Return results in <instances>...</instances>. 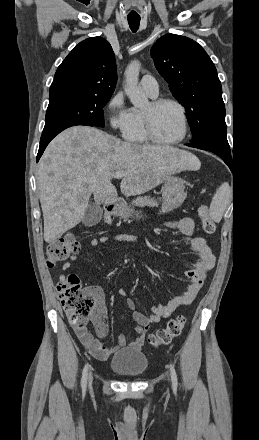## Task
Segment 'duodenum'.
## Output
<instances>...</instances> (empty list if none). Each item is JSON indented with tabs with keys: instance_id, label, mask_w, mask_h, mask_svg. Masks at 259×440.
Returning a JSON list of instances; mask_svg holds the SVG:
<instances>
[{
	"instance_id": "obj_1",
	"label": "duodenum",
	"mask_w": 259,
	"mask_h": 440,
	"mask_svg": "<svg viewBox=\"0 0 259 440\" xmlns=\"http://www.w3.org/2000/svg\"><path fill=\"white\" fill-rule=\"evenodd\" d=\"M119 206V201L118 200H111L109 201L106 205H105V213L107 215H112L115 210L117 209V207Z\"/></svg>"
}]
</instances>
